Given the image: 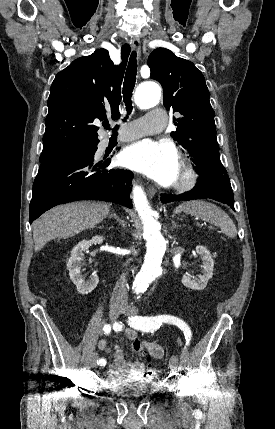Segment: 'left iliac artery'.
<instances>
[{"mask_svg":"<svg viewBox=\"0 0 275 429\" xmlns=\"http://www.w3.org/2000/svg\"><path fill=\"white\" fill-rule=\"evenodd\" d=\"M129 323L137 330L149 332L159 328L163 323H169L178 326L184 333L186 345L191 341L192 332L187 323L182 319L171 315H159L155 317L134 316L129 319Z\"/></svg>","mask_w":275,"mask_h":429,"instance_id":"obj_1","label":"left iliac artery"}]
</instances>
